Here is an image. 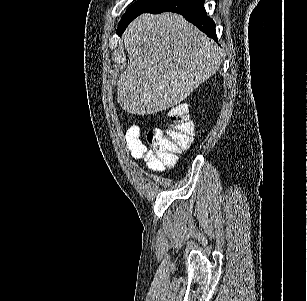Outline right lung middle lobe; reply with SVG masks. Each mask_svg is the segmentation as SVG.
Masks as SVG:
<instances>
[{"label": "right lung middle lobe", "instance_id": "dd1d6c3e", "mask_svg": "<svg viewBox=\"0 0 307 301\" xmlns=\"http://www.w3.org/2000/svg\"><path fill=\"white\" fill-rule=\"evenodd\" d=\"M159 1L160 0H137L126 10L125 14L123 15L122 20L118 25L117 34L120 36L133 19Z\"/></svg>", "mask_w": 307, "mask_h": 301}]
</instances>
